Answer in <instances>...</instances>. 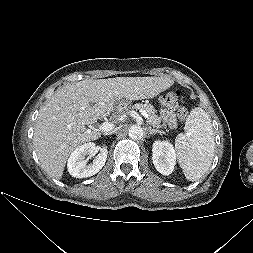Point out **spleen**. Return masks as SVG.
Wrapping results in <instances>:
<instances>
[{
  "instance_id": "spleen-1",
  "label": "spleen",
  "mask_w": 253,
  "mask_h": 253,
  "mask_svg": "<svg viewBox=\"0 0 253 253\" xmlns=\"http://www.w3.org/2000/svg\"><path fill=\"white\" fill-rule=\"evenodd\" d=\"M214 136L209 115L201 108L191 111L185 133L175 141L178 163L189 181L200 179L209 169L214 156Z\"/></svg>"
}]
</instances>
